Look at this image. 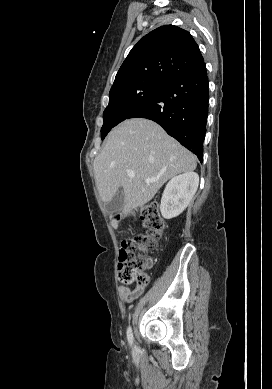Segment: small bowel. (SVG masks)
Segmentation results:
<instances>
[{
  "instance_id": "c3829d8e",
  "label": "small bowel",
  "mask_w": 272,
  "mask_h": 389,
  "mask_svg": "<svg viewBox=\"0 0 272 389\" xmlns=\"http://www.w3.org/2000/svg\"><path fill=\"white\" fill-rule=\"evenodd\" d=\"M152 264H153L152 260L150 258H147L145 263V269L151 268ZM143 291H144V286H139V285L133 289H130L125 286H121L119 288L120 296L126 303H130L136 298H138L143 293Z\"/></svg>"
}]
</instances>
